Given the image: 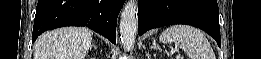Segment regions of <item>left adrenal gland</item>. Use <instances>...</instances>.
<instances>
[{
    "label": "left adrenal gland",
    "instance_id": "1",
    "mask_svg": "<svg viewBox=\"0 0 261 59\" xmlns=\"http://www.w3.org/2000/svg\"><path fill=\"white\" fill-rule=\"evenodd\" d=\"M150 48H151V49L161 50L160 46L157 45L156 40H153L152 46H151Z\"/></svg>",
    "mask_w": 261,
    "mask_h": 59
}]
</instances>
